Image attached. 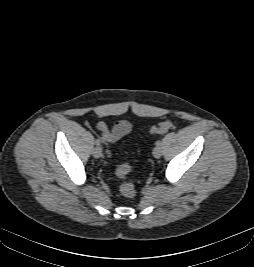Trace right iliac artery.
<instances>
[{"mask_svg":"<svg viewBox=\"0 0 254 267\" xmlns=\"http://www.w3.org/2000/svg\"><path fill=\"white\" fill-rule=\"evenodd\" d=\"M95 144H96V145H100V140H99V139H96V140H95Z\"/></svg>","mask_w":254,"mask_h":267,"instance_id":"82829eb1","label":"right iliac artery"}]
</instances>
